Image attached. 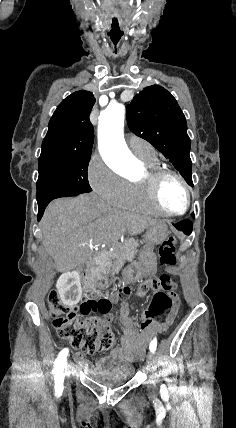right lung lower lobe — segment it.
<instances>
[{"label":"right lung lower lobe","instance_id":"right-lung-lower-lobe-1","mask_svg":"<svg viewBox=\"0 0 236 428\" xmlns=\"http://www.w3.org/2000/svg\"><path fill=\"white\" fill-rule=\"evenodd\" d=\"M50 201H52V200H49V201L42 203V204H38V209H39L38 210V220L41 219V217L44 213V210H45L46 206L50 203Z\"/></svg>","mask_w":236,"mask_h":428}]
</instances>
